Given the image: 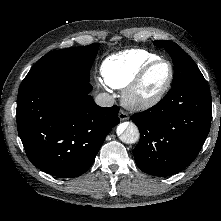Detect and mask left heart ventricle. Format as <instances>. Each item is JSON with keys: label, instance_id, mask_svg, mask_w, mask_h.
<instances>
[{"label": "left heart ventricle", "instance_id": "obj_1", "mask_svg": "<svg viewBox=\"0 0 221 221\" xmlns=\"http://www.w3.org/2000/svg\"><path fill=\"white\" fill-rule=\"evenodd\" d=\"M169 69L167 64L159 63L153 67L144 79L140 93L144 96L157 92L165 83Z\"/></svg>", "mask_w": 221, "mask_h": 221}]
</instances>
